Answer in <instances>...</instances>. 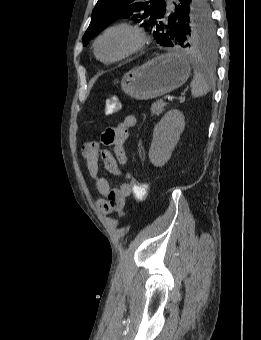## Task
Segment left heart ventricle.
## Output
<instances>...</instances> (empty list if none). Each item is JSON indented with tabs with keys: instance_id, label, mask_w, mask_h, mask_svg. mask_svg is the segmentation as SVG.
I'll list each match as a JSON object with an SVG mask.
<instances>
[{
	"instance_id": "left-heart-ventricle-1",
	"label": "left heart ventricle",
	"mask_w": 261,
	"mask_h": 340,
	"mask_svg": "<svg viewBox=\"0 0 261 340\" xmlns=\"http://www.w3.org/2000/svg\"><path fill=\"white\" fill-rule=\"evenodd\" d=\"M134 43L135 36L133 33L124 29H117L103 37L98 51L102 58L111 59L128 51Z\"/></svg>"
}]
</instances>
